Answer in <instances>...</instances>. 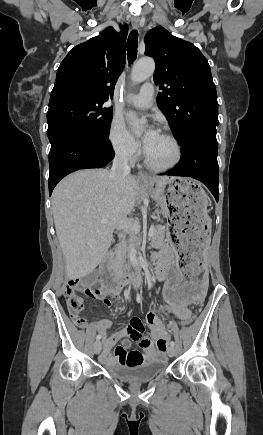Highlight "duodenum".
<instances>
[{
  "label": "duodenum",
  "mask_w": 263,
  "mask_h": 435,
  "mask_svg": "<svg viewBox=\"0 0 263 435\" xmlns=\"http://www.w3.org/2000/svg\"><path fill=\"white\" fill-rule=\"evenodd\" d=\"M104 278L107 289L111 293H118L124 286H139V280L135 275L117 269L113 252H109L105 257Z\"/></svg>",
  "instance_id": "410a0bca"
}]
</instances>
